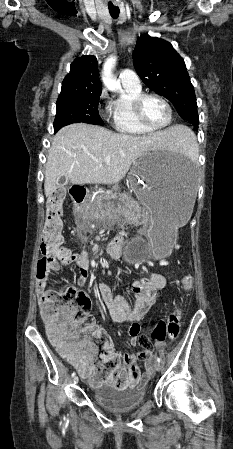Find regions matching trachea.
Wrapping results in <instances>:
<instances>
[{
  "mask_svg": "<svg viewBox=\"0 0 233 449\" xmlns=\"http://www.w3.org/2000/svg\"><path fill=\"white\" fill-rule=\"evenodd\" d=\"M109 13L112 18L117 19L119 16V8L115 6H109Z\"/></svg>",
  "mask_w": 233,
  "mask_h": 449,
  "instance_id": "3493384b",
  "label": "trachea"
}]
</instances>
